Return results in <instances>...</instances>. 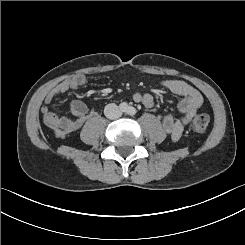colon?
<instances>
[{
    "label": "colon",
    "mask_w": 245,
    "mask_h": 245,
    "mask_svg": "<svg viewBox=\"0 0 245 245\" xmlns=\"http://www.w3.org/2000/svg\"><path fill=\"white\" fill-rule=\"evenodd\" d=\"M211 118L206 113H198L193 116L191 127L195 132L203 133L207 130Z\"/></svg>",
    "instance_id": "5ec220e1"
}]
</instances>
